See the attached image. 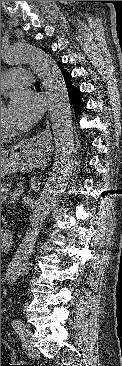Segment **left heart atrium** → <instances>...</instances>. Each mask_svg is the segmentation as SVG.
<instances>
[{"label": "left heart atrium", "mask_w": 122, "mask_h": 366, "mask_svg": "<svg viewBox=\"0 0 122 366\" xmlns=\"http://www.w3.org/2000/svg\"><path fill=\"white\" fill-rule=\"evenodd\" d=\"M41 107L29 92L17 91L12 94L6 108V120L14 131H26L39 119Z\"/></svg>", "instance_id": "obj_1"}]
</instances>
